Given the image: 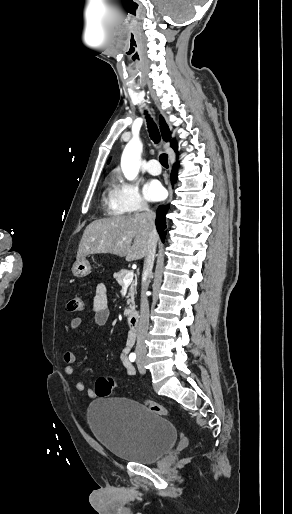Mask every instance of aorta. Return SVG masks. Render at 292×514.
I'll use <instances>...</instances> for the list:
<instances>
[{
	"label": "aorta",
	"instance_id": "762f6f07",
	"mask_svg": "<svg viewBox=\"0 0 292 514\" xmlns=\"http://www.w3.org/2000/svg\"><path fill=\"white\" fill-rule=\"evenodd\" d=\"M142 146L139 140L127 144L121 158V170L126 180H135L139 174V158Z\"/></svg>",
	"mask_w": 292,
	"mask_h": 514
}]
</instances>
